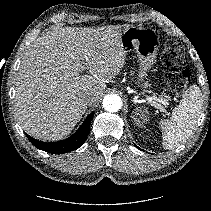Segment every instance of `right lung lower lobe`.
Wrapping results in <instances>:
<instances>
[{"mask_svg": "<svg viewBox=\"0 0 211 211\" xmlns=\"http://www.w3.org/2000/svg\"><path fill=\"white\" fill-rule=\"evenodd\" d=\"M93 118V113H91L86 120L82 123L80 128L69 138L53 143H46L36 140L26 134L29 141L38 149L44 150L52 154H63L79 148L86 140L89 131L90 124Z\"/></svg>", "mask_w": 211, "mask_h": 211, "instance_id": "right-lung-lower-lobe-1", "label": "right lung lower lobe"}]
</instances>
